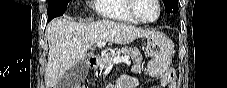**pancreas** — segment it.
<instances>
[{"label": "pancreas", "mask_w": 227, "mask_h": 88, "mask_svg": "<svg viewBox=\"0 0 227 88\" xmlns=\"http://www.w3.org/2000/svg\"><path fill=\"white\" fill-rule=\"evenodd\" d=\"M117 56H129L135 63L140 64L142 61V54L139 49H119L114 54H108L101 58L99 68L102 70L112 64L113 58Z\"/></svg>", "instance_id": "cf45deb5"}]
</instances>
